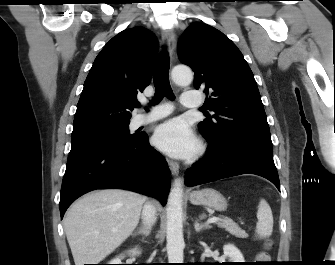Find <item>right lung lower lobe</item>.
I'll return each mask as SVG.
<instances>
[{
    "mask_svg": "<svg viewBox=\"0 0 335 265\" xmlns=\"http://www.w3.org/2000/svg\"><path fill=\"white\" fill-rule=\"evenodd\" d=\"M170 172L164 157L149 145L146 133L119 143H88L71 148L62 181L60 215L81 195L121 188L166 204Z\"/></svg>",
    "mask_w": 335,
    "mask_h": 265,
    "instance_id": "1",
    "label": "right lung lower lobe"
}]
</instances>
